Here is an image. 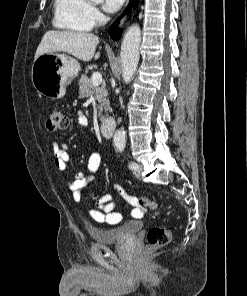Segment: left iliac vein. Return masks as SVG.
<instances>
[{"label":"left iliac vein","instance_id":"1","mask_svg":"<svg viewBox=\"0 0 247 296\" xmlns=\"http://www.w3.org/2000/svg\"><path fill=\"white\" fill-rule=\"evenodd\" d=\"M133 174L135 177L139 178L141 176V167L138 165V167L133 171Z\"/></svg>","mask_w":247,"mask_h":296}]
</instances>
